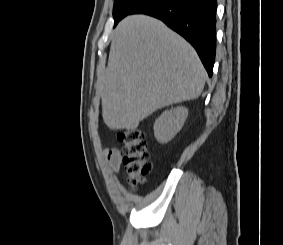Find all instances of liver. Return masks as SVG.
Returning <instances> with one entry per match:
<instances>
[{"label":"liver","mask_w":283,"mask_h":245,"mask_svg":"<svg viewBox=\"0 0 283 245\" xmlns=\"http://www.w3.org/2000/svg\"><path fill=\"white\" fill-rule=\"evenodd\" d=\"M205 69L193 49L161 21L132 15L116 27L101 77L102 116L112 130H135L154 111L200 96Z\"/></svg>","instance_id":"6515ba94"}]
</instances>
